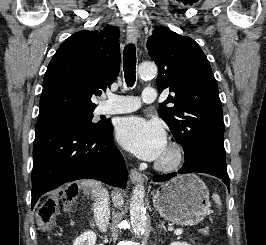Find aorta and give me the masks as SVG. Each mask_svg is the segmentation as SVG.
<instances>
[{"label": "aorta", "instance_id": "1", "mask_svg": "<svg viewBox=\"0 0 266 245\" xmlns=\"http://www.w3.org/2000/svg\"><path fill=\"white\" fill-rule=\"evenodd\" d=\"M138 72L141 76H154L157 74V66L156 64H140ZM129 211L133 233L137 235V239H141L146 227L145 189L143 185L134 187Z\"/></svg>", "mask_w": 266, "mask_h": 245}]
</instances>
